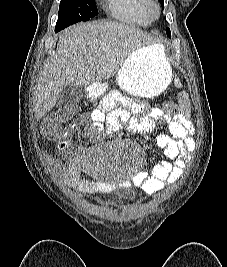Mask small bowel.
I'll list each match as a JSON object with an SVG mask.
<instances>
[{
    "label": "small bowel",
    "instance_id": "small-bowel-1",
    "mask_svg": "<svg viewBox=\"0 0 227 267\" xmlns=\"http://www.w3.org/2000/svg\"><path fill=\"white\" fill-rule=\"evenodd\" d=\"M119 104H125L127 109L119 108ZM122 123L128 129L146 136H152L160 130L161 133L152 140L166 157L150 174L141 169L132 181L122 182V186L134 184L145 192L155 193L166 185L174 184L182 176L183 168L195 150V142L190 136L185 118L181 115L170 116L161 108L148 109L144 104L124 101L119 93L113 92L89 115H83L67 126L58 144V153L48 157L66 184L81 193L98 194L112 190L109 183L85 176V151L79 146L73 147L71 140L83 128V137L96 141L100 133L115 131Z\"/></svg>",
    "mask_w": 227,
    "mask_h": 267
}]
</instances>
